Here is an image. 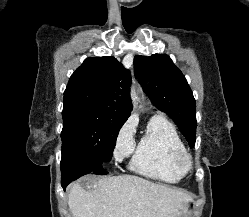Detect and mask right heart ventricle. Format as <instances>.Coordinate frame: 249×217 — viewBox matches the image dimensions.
<instances>
[{"mask_svg":"<svg viewBox=\"0 0 249 217\" xmlns=\"http://www.w3.org/2000/svg\"><path fill=\"white\" fill-rule=\"evenodd\" d=\"M185 151L175 126L164 116L155 115L138 141L129 167L147 178L176 183L183 174L176 167L175 158Z\"/></svg>","mask_w":249,"mask_h":217,"instance_id":"obj_1","label":"right heart ventricle"}]
</instances>
